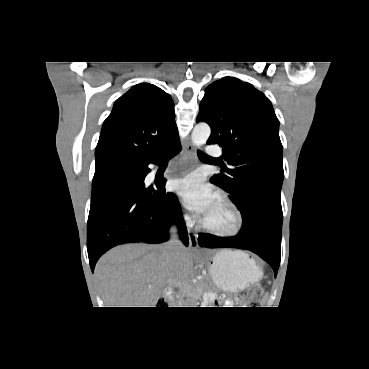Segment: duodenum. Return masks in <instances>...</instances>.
<instances>
[{
	"instance_id": "410a0bca",
	"label": "duodenum",
	"mask_w": 369,
	"mask_h": 369,
	"mask_svg": "<svg viewBox=\"0 0 369 369\" xmlns=\"http://www.w3.org/2000/svg\"><path fill=\"white\" fill-rule=\"evenodd\" d=\"M173 290L171 289V288H167V289H165V291H164V299L166 300V301H172L173 300Z\"/></svg>"
}]
</instances>
